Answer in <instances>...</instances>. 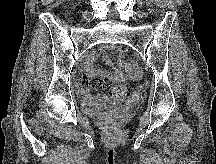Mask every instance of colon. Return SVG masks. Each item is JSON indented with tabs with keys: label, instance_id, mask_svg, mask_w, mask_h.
Masks as SVG:
<instances>
[{
	"label": "colon",
	"instance_id": "colon-1",
	"mask_svg": "<svg viewBox=\"0 0 216 164\" xmlns=\"http://www.w3.org/2000/svg\"><path fill=\"white\" fill-rule=\"evenodd\" d=\"M99 84L102 87L107 88L109 90V95L115 100L135 101L140 94L138 89H131L129 86L124 84H112L107 79L100 80Z\"/></svg>",
	"mask_w": 216,
	"mask_h": 164
}]
</instances>
